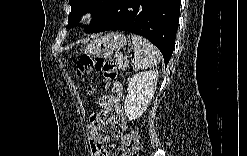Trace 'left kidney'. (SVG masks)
Here are the masks:
<instances>
[{
	"label": "left kidney",
	"mask_w": 247,
	"mask_h": 156,
	"mask_svg": "<svg viewBox=\"0 0 247 156\" xmlns=\"http://www.w3.org/2000/svg\"><path fill=\"white\" fill-rule=\"evenodd\" d=\"M158 75V71L153 69L131 77L124 102L125 114L129 120L141 117L147 110L156 89Z\"/></svg>",
	"instance_id": "5707ae66"
}]
</instances>
